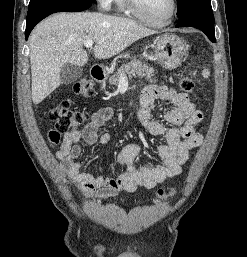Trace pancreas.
<instances>
[{
  "mask_svg": "<svg viewBox=\"0 0 247 257\" xmlns=\"http://www.w3.org/2000/svg\"><path fill=\"white\" fill-rule=\"evenodd\" d=\"M122 75L129 78L139 77L151 79V77L154 76V69L147 64H143L139 60H132L129 63L122 65L120 69L109 78V84L117 86Z\"/></svg>",
  "mask_w": 247,
  "mask_h": 257,
  "instance_id": "pancreas-1",
  "label": "pancreas"
}]
</instances>
